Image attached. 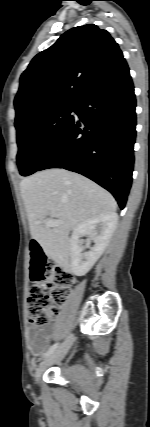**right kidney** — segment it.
<instances>
[{"instance_id": "right-kidney-1", "label": "right kidney", "mask_w": 150, "mask_h": 427, "mask_svg": "<svg viewBox=\"0 0 150 427\" xmlns=\"http://www.w3.org/2000/svg\"><path fill=\"white\" fill-rule=\"evenodd\" d=\"M118 221L114 213L88 219L78 225L70 238V266L76 276H84L103 254ZM86 235L95 245L89 252L83 253L80 237Z\"/></svg>"}]
</instances>
